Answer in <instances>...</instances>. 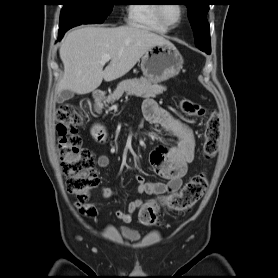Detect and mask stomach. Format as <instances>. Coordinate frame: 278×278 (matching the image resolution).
<instances>
[{"label":"stomach","instance_id":"obj_1","mask_svg":"<svg viewBox=\"0 0 278 278\" xmlns=\"http://www.w3.org/2000/svg\"><path fill=\"white\" fill-rule=\"evenodd\" d=\"M183 57L173 44L153 45L141 59L146 79L161 82L176 77L183 67Z\"/></svg>","mask_w":278,"mask_h":278}]
</instances>
